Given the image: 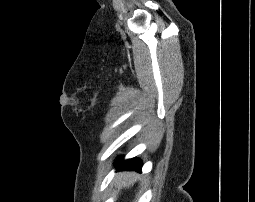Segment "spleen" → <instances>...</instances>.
<instances>
[{
  "mask_svg": "<svg viewBox=\"0 0 255 202\" xmlns=\"http://www.w3.org/2000/svg\"><path fill=\"white\" fill-rule=\"evenodd\" d=\"M121 176H124V179L123 181H121V183L124 185V186H127L129 185L130 183L133 182L134 178L132 175H128V174H123Z\"/></svg>",
  "mask_w": 255,
  "mask_h": 202,
  "instance_id": "spleen-1",
  "label": "spleen"
}]
</instances>
